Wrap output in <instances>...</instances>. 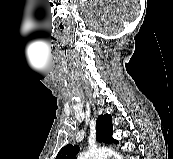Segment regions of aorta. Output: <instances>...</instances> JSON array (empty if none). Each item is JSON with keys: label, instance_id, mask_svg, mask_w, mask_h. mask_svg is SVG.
<instances>
[{"label": "aorta", "instance_id": "762f6f07", "mask_svg": "<svg viewBox=\"0 0 173 159\" xmlns=\"http://www.w3.org/2000/svg\"><path fill=\"white\" fill-rule=\"evenodd\" d=\"M109 156H113V159H123V156L120 153L108 148L90 149L87 152L80 154L78 159H107Z\"/></svg>", "mask_w": 173, "mask_h": 159}]
</instances>
